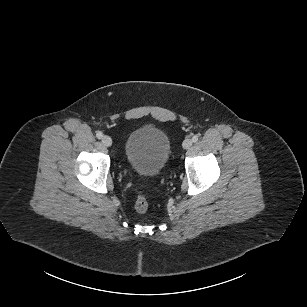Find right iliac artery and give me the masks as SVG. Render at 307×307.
I'll return each mask as SVG.
<instances>
[{"mask_svg":"<svg viewBox=\"0 0 307 307\" xmlns=\"http://www.w3.org/2000/svg\"><path fill=\"white\" fill-rule=\"evenodd\" d=\"M96 137H97L98 139H101V138L103 137L102 132H97V133H96Z\"/></svg>","mask_w":307,"mask_h":307,"instance_id":"obj_1","label":"right iliac artery"}]
</instances>
